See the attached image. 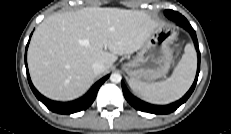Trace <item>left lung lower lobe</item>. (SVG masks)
<instances>
[{"label": "left lung lower lobe", "instance_id": "left-lung-lower-lobe-1", "mask_svg": "<svg viewBox=\"0 0 231 134\" xmlns=\"http://www.w3.org/2000/svg\"><path fill=\"white\" fill-rule=\"evenodd\" d=\"M169 18L177 21L180 26H182L183 28L188 30L191 34V36L194 40V43H195L196 50L198 51V57H199L197 74H196L193 85L191 86L189 91L185 94V96L183 98H181L180 100H178L177 102H174V103L166 105V106H157V105H152V104L146 103L144 101H141L140 99L136 98L135 96H133L128 91L124 82L122 81V90H123L125 99L134 108H136L137 110L143 111V112H150L153 114H168V113L175 111L181 104L186 102V100L192 94V92L196 86V83H197V79H198V75H199V71H200V53H199L196 33H195L194 29L191 27V25L189 24V22L187 21V19L184 16H182L181 14H179L178 12H175V14H172L171 17H169Z\"/></svg>", "mask_w": 231, "mask_h": 134}]
</instances>
